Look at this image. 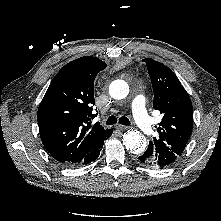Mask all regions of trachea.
Wrapping results in <instances>:
<instances>
[{
  "mask_svg": "<svg viewBox=\"0 0 221 221\" xmlns=\"http://www.w3.org/2000/svg\"><path fill=\"white\" fill-rule=\"evenodd\" d=\"M116 123H117V117L114 115L110 116L106 121V125H114ZM119 123L126 126H129L131 124L129 119L125 116L119 118Z\"/></svg>",
  "mask_w": 221,
  "mask_h": 221,
  "instance_id": "1",
  "label": "trachea"
}]
</instances>
